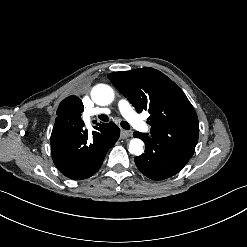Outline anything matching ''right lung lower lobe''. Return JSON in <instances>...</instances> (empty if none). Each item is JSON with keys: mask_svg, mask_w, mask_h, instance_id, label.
<instances>
[{"mask_svg": "<svg viewBox=\"0 0 247 247\" xmlns=\"http://www.w3.org/2000/svg\"><path fill=\"white\" fill-rule=\"evenodd\" d=\"M119 135L120 129L112 122L97 127L93 136H88L84 124L52 131L53 162L70 179L89 178L100 169L107 151Z\"/></svg>", "mask_w": 247, "mask_h": 247, "instance_id": "1", "label": "right lung lower lobe"}]
</instances>
